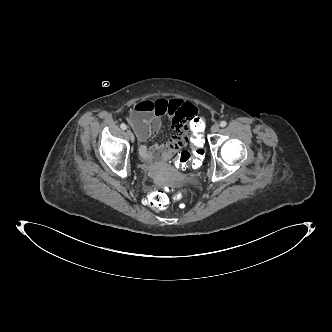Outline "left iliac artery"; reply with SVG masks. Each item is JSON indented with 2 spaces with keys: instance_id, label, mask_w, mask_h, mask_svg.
Segmentation results:
<instances>
[{
  "instance_id": "left-iliac-artery-1",
  "label": "left iliac artery",
  "mask_w": 332,
  "mask_h": 332,
  "mask_svg": "<svg viewBox=\"0 0 332 332\" xmlns=\"http://www.w3.org/2000/svg\"><path fill=\"white\" fill-rule=\"evenodd\" d=\"M226 125H227V122H226V121H221V122H220V126H221V127H225Z\"/></svg>"
}]
</instances>
